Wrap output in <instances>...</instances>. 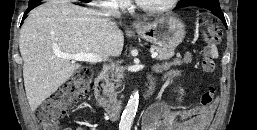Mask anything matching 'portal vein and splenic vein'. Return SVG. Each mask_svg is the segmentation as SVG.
I'll return each instance as SVG.
<instances>
[{
    "instance_id": "1",
    "label": "portal vein and splenic vein",
    "mask_w": 257,
    "mask_h": 130,
    "mask_svg": "<svg viewBox=\"0 0 257 130\" xmlns=\"http://www.w3.org/2000/svg\"><path fill=\"white\" fill-rule=\"evenodd\" d=\"M56 56L60 58L68 59V60L85 61L90 63H97L102 61V58L100 56L93 53H85V54L56 53ZM157 56H158V53L153 51L151 57L156 58Z\"/></svg>"
}]
</instances>
